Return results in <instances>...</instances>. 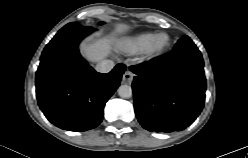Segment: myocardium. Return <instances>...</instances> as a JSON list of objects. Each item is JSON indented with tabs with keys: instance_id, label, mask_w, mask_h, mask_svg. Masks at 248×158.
I'll list each match as a JSON object with an SVG mask.
<instances>
[{
	"instance_id": "myocardium-1",
	"label": "myocardium",
	"mask_w": 248,
	"mask_h": 158,
	"mask_svg": "<svg viewBox=\"0 0 248 158\" xmlns=\"http://www.w3.org/2000/svg\"><path fill=\"white\" fill-rule=\"evenodd\" d=\"M161 38H165V41L163 43H159V40ZM170 41H171L170 35L166 32H159L154 34L149 45L144 51L146 56L152 58L162 54L169 47Z\"/></svg>"
}]
</instances>
